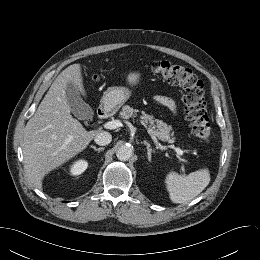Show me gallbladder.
Segmentation results:
<instances>
[{
    "label": "gallbladder",
    "instance_id": "bac80fb5",
    "mask_svg": "<svg viewBox=\"0 0 260 260\" xmlns=\"http://www.w3.org/2000/svg\"><path fill=\"white\" fill-rule=\"evenodd\" d=\"M66 99L75 117L79 119H90L93 117L94 111L84 102L77 87L71 82L67 83Z\"/></svg>",
    "mask_w": 260,
    "mask_h": 260
}]
</instances>
